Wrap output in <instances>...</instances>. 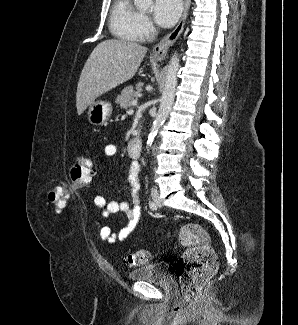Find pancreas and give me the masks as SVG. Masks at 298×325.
<instances>
[{
  "mask_svg": "<svg viewBox=\"0 0 298 325\" xmlns=\"http://www.w3.org/2000/svg\"><path fill=\"white\" fill-rule=\"evenodd\" d=\"M143 82H137L135 86H125L123 90H121V94H118L117 98H115L116 104H118L119 108H128V106H132V100H136L139 92L142 90Z\"/></svg>",
  "mask_w": 298,
  "mask_h": 325,
  "instance_id": "cf45deb5",
  "label": "pancreas"
}]
</instances>
